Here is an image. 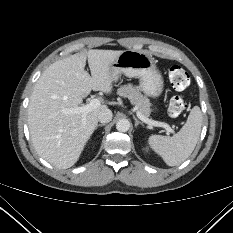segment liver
<instances>
[{
	"label": "liver",
	"instance_id": "1",
	"mask_svg": "<svg viewBox=\"0 0 233 233\" xmlns=\"http://www.w3.org/2000/svg\"><path fill=\"white\" fill-rule=\"evenodd\" d=\"M123 51L89 50L51 64L36 82L28 105V127L37 153L59 169L73 166L106 105L82 114L66 111L82 104L91 90L111 93V64ZM86 60L91 76L85 70Z\"/></svg>",
	"mask_w": 233,
	"mask_h": 233
}]
</instances>
